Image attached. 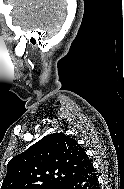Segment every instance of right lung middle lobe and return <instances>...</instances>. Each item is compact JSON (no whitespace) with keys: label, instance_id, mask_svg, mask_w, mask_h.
Returning a JSON list of instances; mask_svg holds the SVG:
<instances>
[{"label":"right lung middle lobe","instance_id":"obj_1","mask_svg":"<svg viewBox=\"0 0 124 189\" xmlns=\"http://www.w3.org/2000/svg\"><path fill=\"white\" fill-rule=\"evenodd\" d=\"M63 185L51 184V185H44L39 187L38 189H62Z\"/></svg>","mask_w":124,"mask_h":189}]
</instances>
